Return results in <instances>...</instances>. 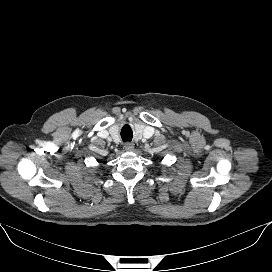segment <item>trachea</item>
Segmentation results:
<instances>
[{"label":"trachea","mask_w":272,"mask_h":272,"mask_svg":"<svg viewBox=\"0 0 272 272\" xmlns=\"http://www.w3.org/2000/svg\"><path fill=\"white\" fill-rule=\"evenodd\" d=\"M132 130L130 127L128 126H125L122 128L121 130V137H122V140L125 142V141H131L132 140Z\"/></svg>","instance_id":"1"}]
</instances>
